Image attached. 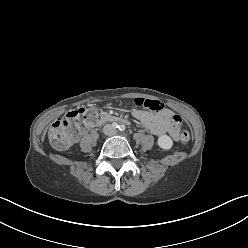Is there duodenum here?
Masks as SVG:
<instances>
[{
  "mask_svg": "<svg viewBox=\"0 0 248 248\" xmlns=\"http://www.w3.org/2000/svg\"><path fill=\"white\" fill-rule=\"evenodd\" d=\"M106 122H113V123H122L128 124V120L119 116L110 115V114H103L100 119L95 123V126H100Z\"/></svg>",
  "mask_w": 248,
  "mask_h": 248,
  "instance_id": "obj_1",
  "label": "duodenum"
}]
</instances>
